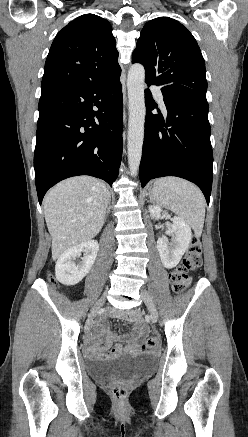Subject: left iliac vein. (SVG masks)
Instances as JSON below:
<instances>
[{"label":"left iliac vein","mask_w":248,"mask_h":437,"mask_svg":"<svg viewBox=\"0 0 248 437\" xmlns=\"http://www.w3.org/2000/svg\"><path fill=\"white\" fill-rule=\"evenodd\" d=\"M140 293L141 298L150 312L151 319L155 321L157 319V309L150 293L146 289H142Z\"/></svg>","instance_id":"obj_1"}]
</instances>
